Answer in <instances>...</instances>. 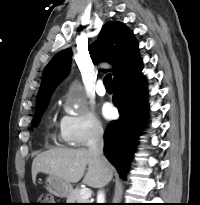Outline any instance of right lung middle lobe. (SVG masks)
<instances>
[{"instance_id":"dd1d6c3e","label":"right lung middle lobe","mask_w":200,"mask_h":205,"mask_svg":"<svg viewBox=\"0 0 200 205\" xmlns=\"http://www.w3.org/2000/svg\"><path fill=\"white\" fill-rule=\"evenodd\" d=\"M49 102V99H45L41 102H39L36 105V111H35V115L34 118L32 120V125L33 126H37L38 122H39V118L42 116L43 111L45 110L47 104Z\"/></svg>"}]
</instances>
